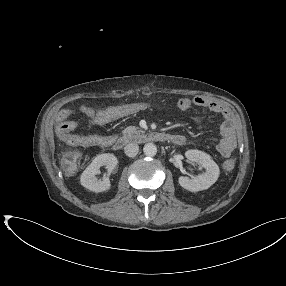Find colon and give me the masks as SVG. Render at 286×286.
I'll use <instances>...</instances> for the list:
<instances>
[{
	"instance_id": "colon-1",
	"label": "colon",
	"mask_w": 286,
	"mask_h": 286,
	"mask_svg": "<svg viewBox=\"0 0 286 286\" xmlns=\"http://www.w3.org/2000/svg\"><path fill=\"white\" fill-rule=\"evenodd\" d=\"M110 115H111V111H107L106 116H110ZM79 162H80V155L76 151H69L62 158V163L65 166V168L68 170L75 169L78 166ZM233 167H234V161L233 160H228L225 163V168L227 170H230Z\"/></svg>"
}]
</instances>
